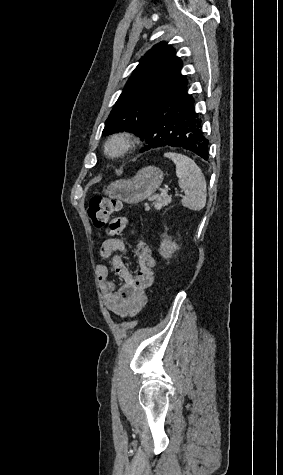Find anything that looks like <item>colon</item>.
I'll return each instance as SVG.
<instances>
[{
	"instance_id": "obj_1",
	"label": "colon",
	"mask_w": 283,
	"mask_h": 475,
	"mask_svg": "<svg viewBox=\"0 0 283 475\" xmlns=\"http://www.w3.org/2000/svg\"><path fill=\"white\" fill-rule=\"evenodd\" d=\"M122 209V203L114 198L96 196L91 199L87 207V214L92 225L97 229H104L108 226L112 215ZM138 268L131 277L132 284H138V281L153 277L155 260L149 245L138 243Z\"/></svg>"
}]
</instances>
